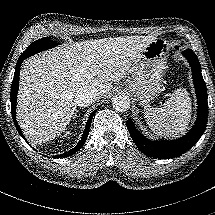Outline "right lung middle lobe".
<instances>
[{
	"label": "right lung middle lobe",
	"instance_id": "dd1d6c3e",
	"mask_svg": "<svg viewBox=\"0 0 215 215\" xmlns=\"http://www.w3.org/2000/svg\"><path fill=\"white\" fill-rule=\"evenodd\" d=\"M57 46V43L51 40L48 37L41 38L37 41H34L31 43L27 49L22 53V55H25L27 57H30L38 52L47 50L49 48Z\"/></svg>",
	"mask_w": 215,
	"mask_h": 215
}]
</instances>
